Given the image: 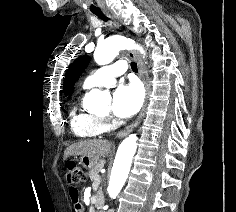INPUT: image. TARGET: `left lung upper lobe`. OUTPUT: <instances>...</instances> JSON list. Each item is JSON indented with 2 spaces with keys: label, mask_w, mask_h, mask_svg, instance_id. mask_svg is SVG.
I'll return each mask as SVG.
<instances>
[{
  "label": "left lung upper lobe",
  "mask_w": 236,
  "mask_h": 212,
  "mask_svg": "<svg viewBox=\"0 0 236 212\" xmlns=\"http://www.w3.org/2000/svg\"><path fill=\"white\" fill-rule=\"evenodd\" d=\"M89 62H90L89 57L84 55L77 58L70 66L64 81V89H65L64 91L66 95L71 93V90L75 82L78 80L82 72L88 66Z\"/></svg>",
  "instance_id": "1"
}]
</instances>
